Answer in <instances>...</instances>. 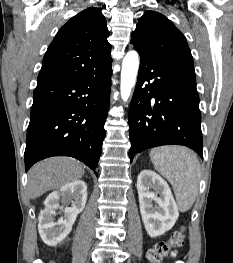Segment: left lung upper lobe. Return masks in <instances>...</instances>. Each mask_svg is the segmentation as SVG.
<instances>
[{"mask_svg": "<svg viewBox=\"0 0 233 263\" xmlns=\"http://www.w3.org/2000/svg\"><path fill=\"white\" fill-rule=\"evenodd\" d=\"M141 57L194 66L185 36L164 15L146 11L131 36Z\"/></svg>", "mask_w": 233, "mask_h": 263, "instance_id": "5c2ea615", "label": "left lung upper lobe"}]
</instances>
